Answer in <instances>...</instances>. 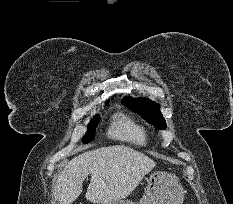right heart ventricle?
I'll use <instances>...</instances> for the list:
<instances>
[{"instance_id": "e07e8e85", "label": "right heart ventricle", "mask_w": 233, "mask_h": 204, "mask_svg": "<svg viewBox=\"0 0 233 204\" xmlns=\"http://www.w3.org/2000/svg\"><path fill=\"white\" fill-rule=\"evenodd\" d=\"M108 135L112 139L138 147L145 146L148 142V134L145 128L123 113L114 115Z\"/></svg>"}]
</instances>
